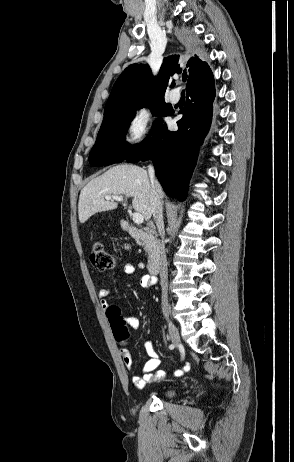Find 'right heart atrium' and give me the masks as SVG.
I'll return each instance as SVG.
<instances>
[{
  "label": "right heart atrium",
  "instance_id": "d8ad5b80",
  "mask_svg": "<svg viewBox=\"0 0 294 462\" xmlns=\"http://www.w3.org/2000/svg\"><path fill=\"white\" fill-rule=\"evenodd\" d=\"M151 113L143 107L135 109L124 127V146L132 152L142 149L148 141L152 125Z\"/></svg>",
  "mask_w": 294,
  "mask_h": 462
}]
</instances>
